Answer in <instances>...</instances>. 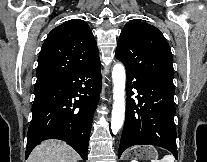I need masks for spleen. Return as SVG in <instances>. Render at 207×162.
<instances>
[{
    "label": "spleen",
    "instance_id": "obj_1",
    "mask_svg": "<svg viewBox=\"0 0 207 162\" xmlns=\"http://www.w3.org/2000/svg\"><path fill=\"white\" fill-rule=\"evenodd\" d=\"M175 158L173 155H165L160 161L159 160H153L152 162H174Z\"/></svg>",
    "mask_w": 207,
    "mask_h": 162
}]
</instances>
